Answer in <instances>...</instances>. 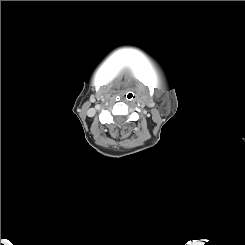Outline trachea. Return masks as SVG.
Returning a JSON list of instances; mask_svg holds the SVG:
<instances>
[{"mask_svg":"<svg viewBox=\"0 0 245 245\" xmlns=\"http://www.w3.org/2000/svg\"><path fill=\"white\" fill-rule=\"evenodd\" d=\"M126 98L128 100H132L134 98V94L132 92H128L127 95H126Z\"/></svg>","mask_w":245,"mask_h":245,"instance_id":"obj_1","label":"trachea"}]
</instances>
